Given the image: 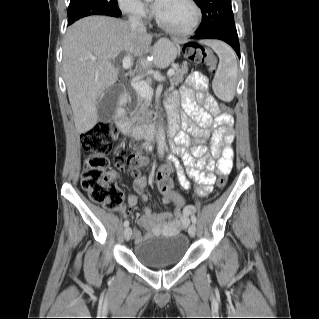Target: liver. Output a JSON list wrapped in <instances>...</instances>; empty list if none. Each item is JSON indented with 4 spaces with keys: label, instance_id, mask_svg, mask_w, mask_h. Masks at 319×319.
<instances>
[{
    "label": "liver",
    "instance_id": "6515ba94",
    "mask_svg": "<svg viewBox=\"0 0 319 319\" xmlns=\"http://www.w3.org/2000/svg\"><path fill=\"white\" fill-rule=\"evenodd\" d=\"M152 36L132 31L129 24L106 16H91L75 22L66 32L63 72L67 93L79 134L97 123V107L105 92L118 79L112 61L121 53L141 58L144 69L151 66L145 56L151 52ZM157 65L156 53L153 52Z\"/></svg>",
    "mask_w": 319,
    "mask_h": 319
}]
</instances>
